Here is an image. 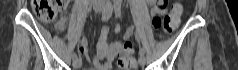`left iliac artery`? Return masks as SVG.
Instances as JSON below:
<instances>
[{
  "mask_svg": "<svg viewBox=\"0 0 238 70\" xmlns=\"http://www.w3.org/2000/svg\"><path fill=\"white\" fill-rule=\"evenodd\" d=\"M114 10L117 17H121V0H114ZM146 52L145 48L139 49V54L144 55Z\"/></svg>",
  "mask_w": 238,
  "mask_h": 70,
  "instance_id": "left-iliac-artery-1",
  "label": "left iliac artery"
}]
</instances>
